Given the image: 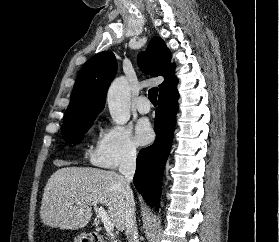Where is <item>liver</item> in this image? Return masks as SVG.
Wrapping results in <instances>:
<instances>
[{"mask_svg":"<svg viewBox=\"0 0 279 242\" xmlns=\"http://www.w3.org/2000/svg\"><path fill=\"white\" fill-rule=\"evenodd\" d=\"M125 183L124 176L110 170L75 166L58 169L44 188L42 223L60 229H81L92 217V206L101 204L107 207L115 227L123 231L129 205Z\"/></svg>","mask_w":279,"mask_h":242,"instance_id":"6515ba94","label":"liver"}]
</instances>
